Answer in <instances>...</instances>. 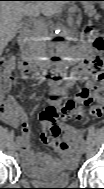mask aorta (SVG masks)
<instances>
[{"label":"aorta","mask_w":104,"mask_h":189,"mask_svg":"<svg viewBox=\"0 0 104 189\" xmlns=\"http://www.w3.org/2000/svg\"><path fill=\"white\" fill-rule=\"evenodd\" d=\"M68 35H57V43L55 44L57 54L61 61L56 64L57 82H62L65 76L66 63L63 61L69 55V47L66 43Z\"/></svg>","instance_id":"aorta-1"}]
</instances>
